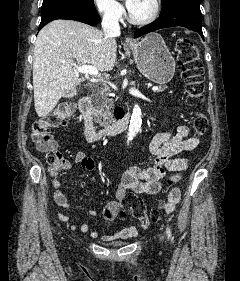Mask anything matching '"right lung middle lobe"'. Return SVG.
<instances>
[{"label": "right lung middle lobe", "instance_id": "obj_1", "mask_svg": "<svg viewBox=\"0 0 240 281\" xmlns=\"http://www.w3.org/2000/svg\"><path fill=\"white\" fill-rule=\"evenodd\" d=\"M57 9H74L80 12H97L93 0H43L41 16Z\"/></svg>", "mask_w": 240, "mask_h": 281}]
</instances>
